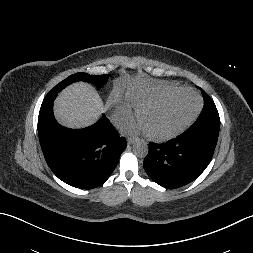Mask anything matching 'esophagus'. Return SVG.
Instances as JSON below:
<instances>
[{"label": "esophagus", "instance_id": "1", "mask_svg": "<svg viewBox=\"0 0 253 253\" xmlns=\"http://www.w3.org/2000/svg\"><path fill=\"white\" fill-rule=\"evenodd\" d=\"M136 140H137L136 138L129 137V138L127 139V143H128L129 145H131V144H133Z\"/></svg>", "mask_w": 253, "mask_h": 253}]
</instances>
